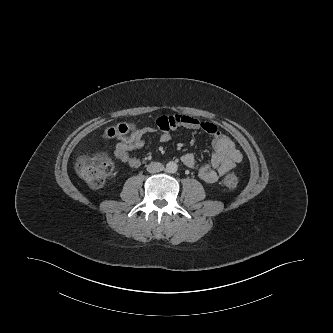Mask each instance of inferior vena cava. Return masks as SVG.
<instances>
[{
	"instance_id": "602c4592",
	"label": "inferior vena cava",
	"mask_w": 333,
	"mask_h": 333,
	"mask_svg": "<svg viewBox=\"0 0 333 333\" xmlns=\"http://www.w3.org/2000/svg\"><path fill=\"white\" fill-rule=\"evenodd\" d=\"M163 169H164V166L160 162H151L147 166V171L149 173H157V172L162 171Z\"/></svg>"
}]
</instances>
